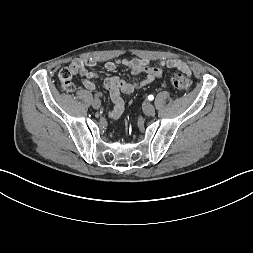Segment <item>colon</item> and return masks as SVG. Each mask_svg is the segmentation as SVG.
Segmentation results:
<instances>
[{
    "label": "colon",
    "instance_id": "5ec220e1",
    "mask_svg": "<svg viewBox=\"0 0 253 253\" xmlns=\"http://www.w3.org/2000/svg\"><path fill=\"white\" fill-rule=\"evenodd\" d=\"M76 72L70 67L62 68L58 73L61 87L68 92L75 90L73 77ZM172 86L176 89L185 90L191 86L192 79L188 72H176L170 78Z\"/></svg>",
    "mask_w": 253,
    "mask_h": 253
}]
</instances>
